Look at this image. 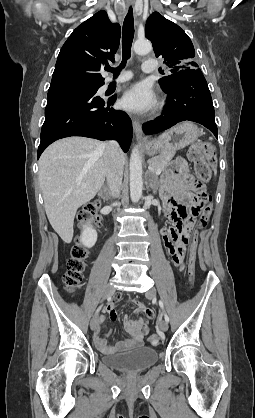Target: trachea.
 Returning <instances> with one entry per match:
<instances>
[{"label": "trachea", "instance_id": "3493384b", "mask_svg": "<svg viewBox=\"0 0 255 418\" xmlns=\"http://www.w3.org/2000/svg\"><path fill=\"white\" fill-rule=\"evenodd\" d=\"M134 37V19H133V9L130 6L128 13L124 19L123 31H122V62L118 68H111L110 66L106 67L107 71L113 73L114 76H118L121 69L126 65L127 60L131 57V46Z\"/></svg>", "mask_w": 255, "mask_h": 418}]
</instances>
